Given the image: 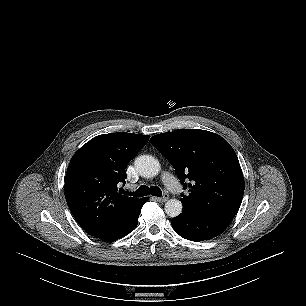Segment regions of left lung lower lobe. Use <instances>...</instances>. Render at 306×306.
I'll return each mask as SVG.
<instances>
[{
	"label": "left lung lower lobe",
	"mask_w": 306,
	"mask_h": 306,
	"mask_svg": "<svg viewBox=\"0 0 306 306\" xmlns=\"http://www.w3.org/2000/svg\"><path fill=\"white\" fill-rule=\"evenodd\" d=\"M232 219L197 213L183 208V212L171 220L173 229L183 238L192 241H203L220 235Z\"/></svg>",
	"instance_id": "0a47b994"
}]
</instances>
